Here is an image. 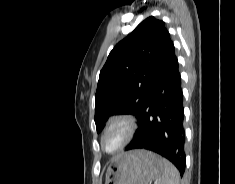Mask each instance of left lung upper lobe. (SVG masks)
Masks as SVG:
<instances>
[{
  "instance_id": "1",
  "label": "left lung upper lobe",
  "mask_w": 235,
  "mask_h": 184,
  "mask_svg": "<svg viewBox=\"0 0 235 184\" xmlns=\"http://www.w3.org/2000/svg\"><path fill=\"white\" fill-rule=\"evenodd\" d=\"M168 37L165 23L150 16L110 52L100 71L95 95L98 133L113 114L139 117Z\"/></svg>"
}]
</instances>
